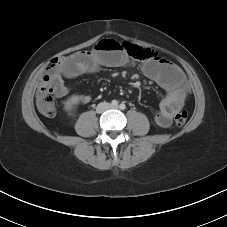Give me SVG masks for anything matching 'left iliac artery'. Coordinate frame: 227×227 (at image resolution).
<instances>
[{
    "label": "left iliac artery",
    "instance_id": "1",
    "mask_svg": "<svg viewBox=\"0 0 227 227\" xmlns=\"http://www.w3.org/2000/svg\"><path fill=\"white\" fill-rule=\"evenodd\" d=\"M119 107H120V109L124 110L126 108V105L121 103Z\"/></svg>",
    "mask_w": 227,
    "mask_h": 227
}]
</instances>
